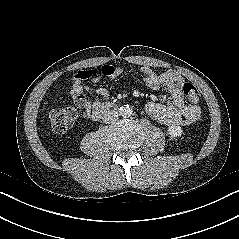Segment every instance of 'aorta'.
I'll return each instance as SVG.
<instances>
[{"label":"aorta","instance_id":"obj_1","mask_svg":"<svg viewBox=\"0 0 239 239\" xmlns=\"http://www.w3.org/2000/svg\"><path fill=\"white\" fill-rule=\"evenodd\" d=\"M132 108L129 105H123L119 109V113L123 117H129L132 115Z\"/></svg>","mask_w":239,"mask_h":239}]
</instances>
